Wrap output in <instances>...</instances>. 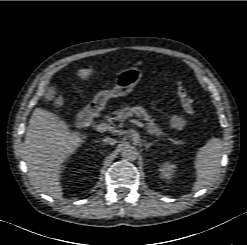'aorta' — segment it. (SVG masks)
Listing matches in <instances>:
<instances>
[{"mask_svg": "<svg viewBox=\"0 0 247 245\" xmlns=\"http://www.w3.org/2000/svg\"><path fill=\"white\" fill-rule=\"evenodd\" d=\"M121 155L126 161H134L138 156V151L134 146L125 145L122 149Z\"/></svg>", "mask_w": 247, "mask_h": 245, "instance_id": "aorta-1", "label": "aorta"}]
</instances>
